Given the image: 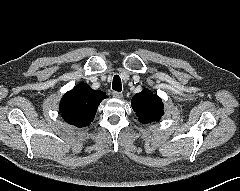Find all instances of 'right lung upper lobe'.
<instances>
[{"instance_id": "right-lung-upper-lobe-1", "label": "right lung upper lobe", "mask_w": 240, "mask_h": 191, "mask_svg": "<svg viewBox=\"0 0 240 191\" xmlns=\"http://www.w3.org/2000/svg\"><path fill=\"white\" fill-rule=\"evenodd\" d=\"M107 98L100 90L79 83L62 97L59 105L61 117L76 127L88 126L94 119L100 102Z\"/></svg>"}]
</instances>
